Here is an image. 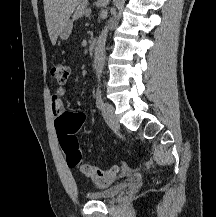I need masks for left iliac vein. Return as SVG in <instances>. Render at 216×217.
<instances>
[{
    "label": "left iliac vein",
    "mask_w": 216,
    "mask_h": 217,
    "mask_svg": "<svg viewBox=\"0 0 216 217\" xmlns=\"http://www.w3.org/2000/svg\"><path fill=\"white\" fill-rule=\"evenodd\" d=\"M102 115H103L105 122L108 124V126L111 129H113V130L119 129L120 125H119L118 118L115 115L114 107L110 103L105 102L103 104Z\"/></svg>",
    "instance_id": "1"
}]
</instances>
